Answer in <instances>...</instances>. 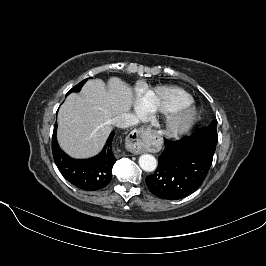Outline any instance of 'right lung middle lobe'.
Masks as SVG:
<instances>
[{
	"label": "right lung middle lobe",
	"instance_id": "right-lung-middle-lobe-1",
	"mask_svg": "<svg viewBox=\"0 0 266 266\" xmlns=\"http://www.w3.org/2000/svg\"><path fill=\"white\" fill-rule=\"evenodd\" d=\"M87 81V79L83 80L82 82H80L79 84H77L76 86H74L68 93H71V92H79L83 86V84Z\"/></svg>",
	"mask_w": 266,
	"mask_h": 266
}]
</instances>
